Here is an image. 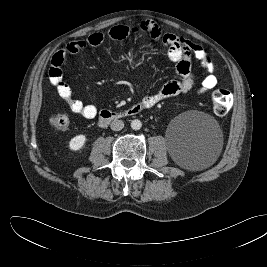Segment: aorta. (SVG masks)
<instances>
[{
    "label": "aorta",
    "instance_id": "obj_1",
    "mask_svg": "<svg viewBox=\"0 0 267 267\" xmlns=\"http://www.w3.org/2000/svg\"><path fill=\"white\" fill-rule=\"evenodd\" d=\"M141 127H142V123L140 120H138V119L132 120L131 128L133 130H139V129H141Z\"/></svg>",
    "mask_w": 267,
    "mask_h": 267
}]
</instances>
